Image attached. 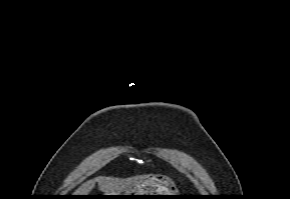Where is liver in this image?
<instances>
[{"label":"liver","instance_id":"6515ba94","mask_svg":"<svg viewBox=\"0 0 290 199\" xmlns=\"http://www.w3.org/2000/svg\"><path fill=\"white\" fill-rule=\"evenodd\" d=\"M98 182L99 188L106 195L119 194L127 190L132 184L131 180H122L113 177H98L83 183L74 193V195H88Z\"/></svg>","mask_w":290,"mask_h":199}]
</instances>
